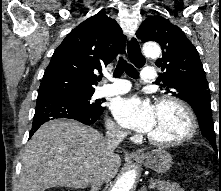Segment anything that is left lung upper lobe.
Returning <instances> with one entry per match:
<instances>
[{"label":"left lung upper lobe","instance_id":"left-lung-upper-lobe-1","mask_svg":"<svg viewBox=\"0 0 221 191\" xmlns=\"http://www.w3.org/2000/svg\"><path fill=\"white\" fill-rule=\"evenodd\" d=\"M136 36L142 42L155 41L160 44L162 57L156 61V65L164 71L160 76L162 89L189 103L197 115L202 135L215 150L218 140L213 127L210 92L194 45L178 26L161 16L145 19Z\"/></svg>","mask_w":221,"mask_h":191}]
</instances>
